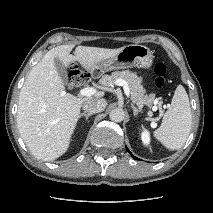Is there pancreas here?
I'll return each mask as SVG.
<instances>
[{
  "label": "pancreas",
  "mask_w": 213,
  "mask_h": 213,
  "mask_svg": "<svg viewBox=\"0 0 213 213\" xmlns=\"http://www.w3.org/2000/svg\"><path fill=\"white\" fill-rule=\"evenodd\" d=\"M117 79H124L130 88L132 100L139 106L147 105L151 107L155 101V94H146L143 88L142 78L135 72L115 71L111 75H103L100 84L104 87H112Z\"/></svg>",
  "instance_id": "pancreas-1"
}]
</instances>
